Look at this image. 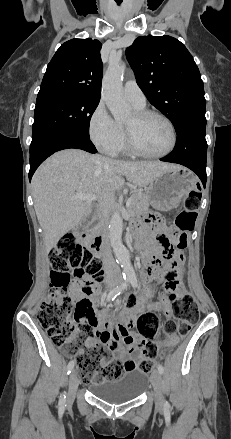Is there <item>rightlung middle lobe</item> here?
Segmentation results:
<instances>
[{"instance_id":"1","label":"right lung middle lobe","mask_w":231,"mask_h":439,"mask_svg":"<svg viewBox=\"0 0 231 439\" xmlns=\"http://www.w3.org/2000/svg\"><path fill=\"white\" fill-rule=\"evenodd\" d=\"M100 100L58 95L36 100L32 144L45 135L69 129L89 136V123Z\"/></svg>"}]
</instances>
